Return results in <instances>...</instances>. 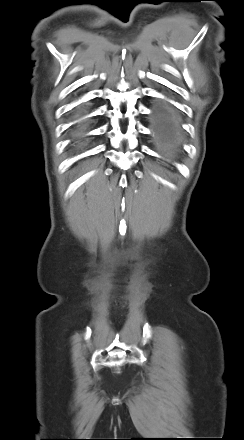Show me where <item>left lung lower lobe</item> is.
<instances>
[{"mask_svg":"<svg viewBox=\"0 0 244 440\" xmlns=\"http://www.w3.org/2000/svg\"><path fill=\"white\" fill-rule=\"evenodd\" d=\"M151 127L156 141L163 147L176 148L182 142V121L175 107L159 101L154 106Z\"/></svg>","mask_w":244,"mask_h":440,"instance_id":"1","label":"left lung lower lobe"}]
</instances>
